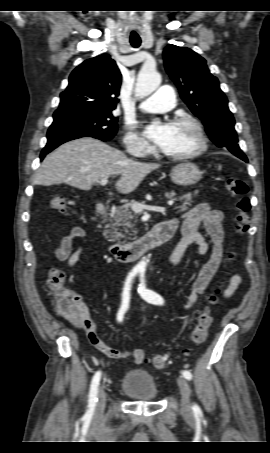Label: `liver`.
Instances as JSON below:
<instances>
[{"label":"liver","mask_w":270,"mask_h":453,"mask_svg":"<svg viewBox=\"0 0 270 453\" xmlns=\"http://www.w3.org/2000/svg\"><path fill=\"white\" fill-rule=\"evenodd\" d=\"M159 164L128 159L121 151L100 140L83 137L67 142L46 156L34 175L35 185L66 183L90 190L103 178L120 175L115 187L122 194L133 192Z\"/></svg>","instance_id":"obj_1"}]
</instances>
